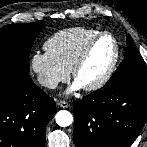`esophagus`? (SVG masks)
<instances>
[{
	"mask_svg": "<svg viewBox=\"0 0 147 147\" xmlns=\"http://www.w3.org/2000/svg\"><path fill=\"white\" fill-rule=\"evenodd\" d=\"M58 104H59V106L61 108H68V107H70V104L68 102H66V101H60Z\"/></svg>",
	"mask_w": 147,
	"mask_h": 147,
	"instance_id": "34e87169",
	"label": "esophagus"
}]
</instances>
